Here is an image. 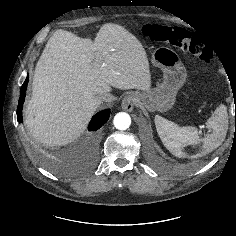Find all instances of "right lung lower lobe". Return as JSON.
I'll return each mask as SVG.
<instances>
[{"mask_svg":"<svg viewBox=\"0 0 236 236\" xmlns=\"http://www.w3.org/2000/svg\"><path fill=\"white\" fill-rule=\"evenodd\" d=\"M29 76H27L25 82L23 83L20 91V98H19V104L17 107V120L19 122H22V109H23V103L25 99V92L28 84ZM110 116V109H106L103 111H100L96 115L93 116L91 119L88 129L89 131L95 132L98 129H100L109 119Z\"/></svg>","mask_w":236,"mask_h":236,"instance_id":"obj_1","label":"right lung lower lobe"}]
</instances>
